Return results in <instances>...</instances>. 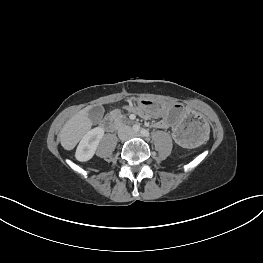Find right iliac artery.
I'll list each match as a JSON object with an SVG mask.
<instances>
[{
    "instance_id": "82829eb1",
    "label": "right iliac artery",
    "mask_w": 263,
    "mask_h": 263,
    "mask_svg": "<svg viewBox=\"0 0 263 263\" xmlns=\"http://www.w3.org/2000/svg\"><path fill=\"white\" fill-rule=\"evenodd\" d=\"M135 130H136V131H139V130H140V127H139V126H136V127H135Z\"/></svg>"
}]
</instances>
